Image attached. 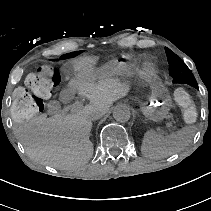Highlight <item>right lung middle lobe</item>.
<instances>
[{
  "instance_id": "right-lung-middle-lobe-1",
  "label": "right lung middle lobe",
  "mask_w": 211,
  "mask_h": 211,
  "mask_svg": "<svg viewBox=\"0 0 211 211\" xmlns=\"http://www.w3.org/2000/svg\"><path fill=\"white\" fill-rule=\"evenodd\" d=\"M80 52L81 51H77V52H72V53H68V54L62 55L60 57V59H66V58L74 57V56L78 55Z\"/></svg>"
}]
</instances>
